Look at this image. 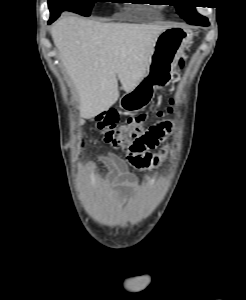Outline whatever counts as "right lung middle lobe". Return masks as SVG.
<instances>
[{"label": "right lung middle lobe", "instance_id": "right-lung-middle-lobe-1", "mask_svg": "<svg viewBox=\"0 0 246 300\" xmlns=\"http://www.w3.org/2000/svg\"><path fill=\"white\" fill-rule=\"evenodd\" d=\"M97 1L104 2L107 0H49L48 6L51 17L59 16L63 11L89 16L93 4Z\"/></svg>", "mask_w": 246, "mask_h": 300}]
</instances>
